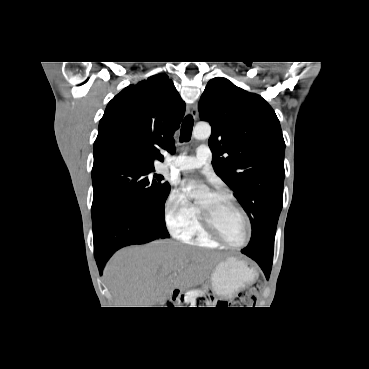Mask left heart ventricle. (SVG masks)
Masks as SVG:
<instances>
[{"label": "left heart ventricle", "mask_w": 369, "mask_h": 369, "mask_svg": "<svg viewBox=\"0 0 369 369\" xmlns=\"http://www.w3.org/2000/svg\"><path fill=\"white\" fill-rule=\"evenodd\" d=\"M198 204L211 217L217 230L225 239L234 244H240L245 240L247 231L244 218L229 199L207 193Z\"/></svg>", "instance_id": "b2bd125f"}]
</instances>
